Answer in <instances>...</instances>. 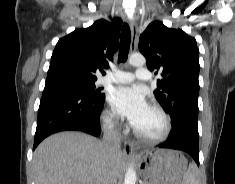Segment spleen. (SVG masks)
Masks as SVG:
<instances>
[{
	"label": "spleen",
	"instance_id": "obj_1",
	"mask_svg": "<svg viewBox=\"0 0 235 184\" xmlns=\"http://www.w3.org/2000/svg\"><path fill=\"white\" fill-rule=\"evenodd\" d=\"M197 166L190 164L187 172H185L182 180V184H198L197 180Z\"/></svg>",
	"mask_w": 235,
	"mask_h": 184
}]
</instances>
